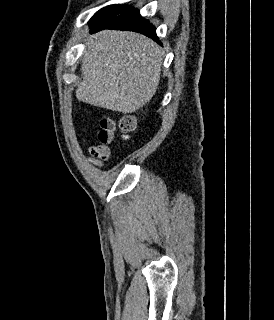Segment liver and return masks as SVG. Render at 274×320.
<instances>
[{
  "mask_svg": "<svg viewBox=\"0 0 274 320\" xmlns=\"http://www.w3.org/2000/svg\"><path fill=\"white\" fill-rule=\"evenodd\" d=\"M76 98L91 106L133 114L150 102L160 82L162 54L150 38L103 30L85 40Z\"/></svg>",
  "mask_w": 274,
  "mask_h": 320,
  "instance_id": "1",
  "label": "liver"
}]
</instances>
